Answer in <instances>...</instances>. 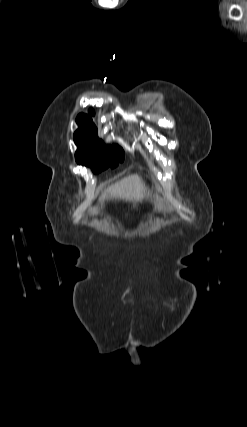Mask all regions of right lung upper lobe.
<instances>
[{
    "instance_id": "right-lung-upper-lobe-1",
    "label": "right lung upper lobe",
    "mask_w": 247,
    "mask_h": 427,
    "mask_svg": "<svg viewBox=\"0 0 247 427\" xmlns=\"http://www.w3.org/2000/svg\"><path fill=\"white\" fill-rule=\"evenodd\" d=\"M90 114L94 115V111L92 109H90ZM76 122L79 124L80 128L97 129L90 116L86 114H79Z\"/></svg>"
}]
</instances>
